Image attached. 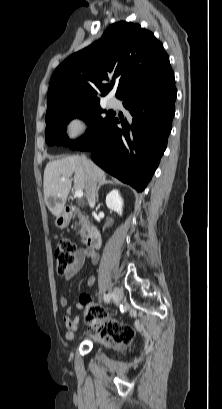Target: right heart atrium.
Masks as SVG:
<instances>
[{"mask_svg":"<svg viewBox=\"0 0 222 409\" xmlns=\"http://www.w3.org/2000/svg\"><path fill=\"white\" fill-rule=\"evenodd\" d=\"M89 128L90 123L85 116L75 115L68 121L66 131L70 138H77L85 134Z\"/></svg>","mask_w":222,"mask_h":409,"instance_id":"right-heart-atrium-1","label":"right heart atrium"}]
</instances>
